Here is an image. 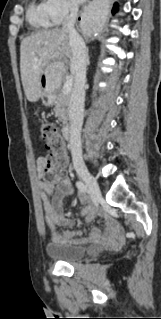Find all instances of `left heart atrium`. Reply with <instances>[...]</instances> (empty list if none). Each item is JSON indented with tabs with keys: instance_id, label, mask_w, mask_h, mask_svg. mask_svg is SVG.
<instances>
[{
	"instance_id": "obj_1",
	"label": "left heart atrium",
	"mask_w": 161,
	"mask_h": 319,
	"mask_svg": "<svg viewBox=\"0 0 161 319\" xmlns=\"http://www.w3.org/2000/svg\"><path fill=\"white\" fill-rule=\"evenodd\" d=\"M84 0H73V2L74 3H76V4H80V3H82Z\"/></svg>"
}]
</instances>
